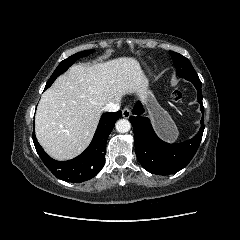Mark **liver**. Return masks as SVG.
Instances as JSON below:
<instances>
[{"label":"liver","instance_id":"liver-1","mask_svg":"<svg viewBox=\"0 0 240 240\" xmlns=\"http://www.w3.org/2000/svg\"><path fill=\"white\" fill-rule=\"evenodd\" d=\"M145 90L135 58L74 65L41 96L35 116L37 140L54 159H72L91 142L105 105L132 93L145 100Z\"/></svg>","mask_w":240,"mask_h":240}]
</instances>
